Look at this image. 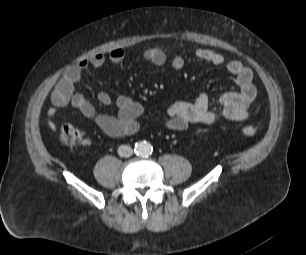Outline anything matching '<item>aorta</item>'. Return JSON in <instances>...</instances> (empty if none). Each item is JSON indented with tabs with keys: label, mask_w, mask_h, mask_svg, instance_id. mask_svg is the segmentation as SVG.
I'll list each match as a JSON object with an SVG mask.
<instances>
[{
	"label": "aorta",
	"mask_w": 306,
	"mask_h": 255,
	"mask_svg": "<svg viewBox=\"0 0 306 255\" xmlns=\"http://www.w3.org/2000/svg\"><path fill=\"white\" fill-rule=\"evenodd\" d=\"M135 152L139 156L146 157L152 154L153 147L149 142L142 141L135 144Z\"/></svg>",
	"instance_id": "1"
}]
</instances>
